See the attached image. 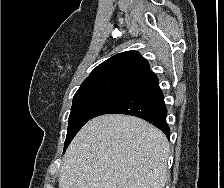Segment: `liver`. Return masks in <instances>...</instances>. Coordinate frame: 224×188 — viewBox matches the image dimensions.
I'll list each match as a JSON object with an SVG mask.
<instances>
[{"label": "liver", "instance_id": "6515ba94", "mask_svg": "<svg viewBox=\"0 0 224 188\" xmlns=\"http://www.w3.org/2000/svg\"><path fill=\"white\" fill-rule=\"evenodd\" d=\"M168 157V140L153 125L129 115H102L68 147L59 188H164Z\"/></svg>", "mask_w": 224, "mask_h": 188}]
</instances>
